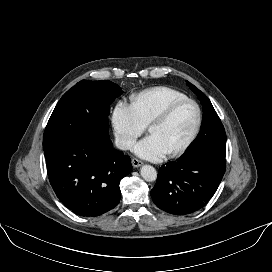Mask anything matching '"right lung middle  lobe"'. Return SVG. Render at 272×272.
I'll return each instance as SVG.
<instances>
[{
  "label": "right lung middle lobe",
  "mask_w": 272,
  "mask_h": 272,
  "mask_svg": "<svg viewBox=\"0 0 272 272\" xmlns=\"http://www.w3.org/2000/svg\"><path fill=\"white\" fill-rule=\"evenodd\" d=\"M123 91L108 80H81L56 105L45 128L43 149L72 134L109 138L108 115L111 103Z\"/></svg>",
  "instance_id": "right-lung-middle-lobe-1"
}]
</instances>
